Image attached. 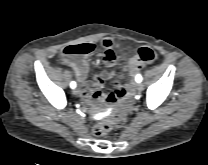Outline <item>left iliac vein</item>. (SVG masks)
<instances>
[{
	"mask_svg": "<svg viewBox=\"0 0 208 165\" xmlns=\"http://www.w3.org/2000/svg\"><path fill=\"white\" fill-rule=\"evenodd\" d=\"M136 88L138 91H142L143 90V84L142 83H136Z\"/></svg>",
	"mask_w": 208,
	"mask_h": 165,
	"instance_id": "4c4485c4",
	"label": "left iliac vein"
}]
</instances>
